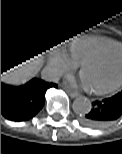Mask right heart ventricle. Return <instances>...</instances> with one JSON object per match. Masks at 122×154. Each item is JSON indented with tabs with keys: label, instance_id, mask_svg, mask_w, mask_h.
<instances>
[{
	"label": "right heart ventricle",
	"instance_id": "1",
	"mask_svg": "<svg viewBox=\"0 0 122 154\" xmlns=\"http://www.w3.org/2000/svg\"><path fill=\"white\" fill-rule=\"evenodd\" d=\"M115 45V42L106 38L90 36L77 39L70 43L67 50L71 57L80 63L85 57Z\"/></svg>",
	"mask_w": 122,
	"mask_h": 154
}]
</instances>
